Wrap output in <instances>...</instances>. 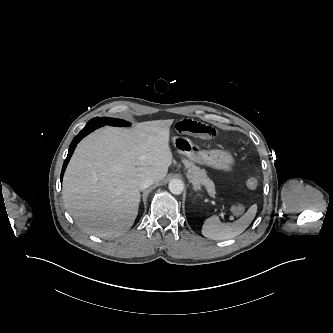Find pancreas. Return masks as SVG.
Masks as SVG:
<instances>
[{
	"instance_id": "1",
	"label": "pancreas",
	"mask_w": 333,
	"mask_h": 333,
	"mask_svg": "<svg viewBox=\"0 0 333 333\" xmlns=\"http://www.w3.org/2000/svg\"><path fill=\"white\" fill-rule=\"evenodd\" d=\"M186 168H188L187 177L190 181L197 187L204 185L210 196H215V185L212 180L207 176L205 170L193 165L192 163L184 160L183 161Z\"/></svg>"
}]
</instances>
